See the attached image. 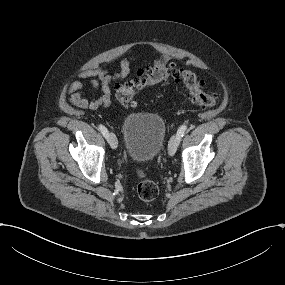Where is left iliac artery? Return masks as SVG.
Masks as SVG:
<instances>
[{
    "instance_id": "obj_1",
    "label": "left iliac artery",
    "mask_w": 285,
    "mask_h": 285,
    "mask_svg": "<svg viewBox=\"0 0 285 285\" xmlns=\"http://www.w3.org/2000/svg\"><path fill=\"white\" fill-rule=\"evenodd\" d=\"M187 130V126L186 125H182L178 131H177V136L179 137V140H181V137L184 136L185 132Z\"/></svg>"
}]
</instances>
